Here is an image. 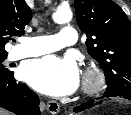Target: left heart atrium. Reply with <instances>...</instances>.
<instances>
[{"label":"left heart atrium","mask_w":131,"mask_h":115,"mask_svg":"<svg viewBox=\"0 0 131 115\" xmlns=\"http://www.w3.org/2000/svg\"><path fill=\"white\" fill-rule=\"evenodd\" d=\"M21 75L34 89L52 96L70 94L79 84V69L75 61L54 55L26 63Z\"/></svg>","instance_id":"39dd6f15"}]
</instances>
